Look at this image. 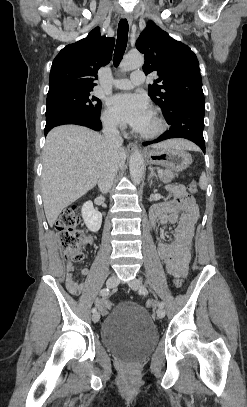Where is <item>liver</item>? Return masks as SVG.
Masks as SVG:
<instances>
[{"mask_svg": "<svg viewBox=\"0 0 247 407\" xmlns=\"http://www.w3.org/2000/svg\"><path fill=\"white\" fill-rule=\"evenodd\" d=\"M163 146L196 149L193 143L183 139L168 140L152 147ZM126 156L121 147L110 152L104 137L86 127L62 125L52 129L46 137L41 176L43 205L49 226H53L64 208L97 184L106 159L122 167Z\"/></svg>", "mask_w": 247, "mask_h": 407, "instance_id": "6515ba94", "label": "liver"}]
</instances>
